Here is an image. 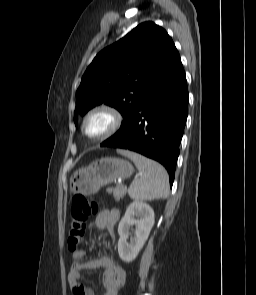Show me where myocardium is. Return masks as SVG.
Wrapping results in <instances>:
<instances>
[{
    "label": "myocardium",
    "mask_w": 256,
    "mask_h": 295,
    "mask_svg": "<svg viewBox=\"0 0 256 295\" xmlns=\"http://www.w3.org/2000/svg\"><path fill=\"white\" fill-rule=\"evenodd\" d=\"M97 114H104L109 120L107 129L100 135L89 137L86 135L85 127L88 120ZM122 123V116L117 109L108 104H99L90 109L83 117L81 122V134L89 141H102L112 136L120 127Z\"/></svg>",
    "instance_id": "myocardium-1"
}]
</instances>
